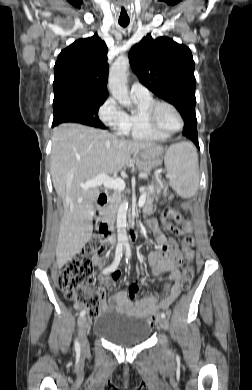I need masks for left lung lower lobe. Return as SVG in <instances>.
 Returning <instances> with one entry per match:
<instances>
[{"instance_id": "obj_1", "label": "left lung lower lobe", "mask_w": 252, "mask_h": 390, "mask_svg": "<svg viewBox=\"0 0 252 390\" xmlns=\"http://www.w3.org/2000/svg\"><path fill=\"white\" fill-rule=\"evenodd\" d=\"M183 135L191 139L199 148L196 117H188L184 119Z\"/></svg>"}]
</instances>
